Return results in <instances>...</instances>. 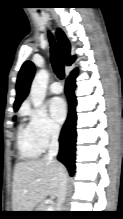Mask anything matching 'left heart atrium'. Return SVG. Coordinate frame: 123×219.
<instances>
[{
  "label": "left heart atrium",
  "mask_w": 123,
  "mask_h": 219,
  "mask_svg": "<svg viewBox=\"0 0 123 219\" xmlns=\"http://www.w3.org/2000/svg\"><path fill=\"white\" fill-rule=\"evenodd\" d=\"M49 110L52 118L57 123H62L66 117V105L62 98L55 97L49 102Z\"/></svg>",
  "instance_id": "obj_1"
}]
</instances>
